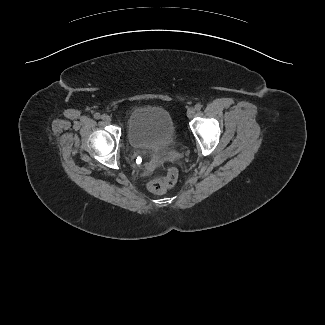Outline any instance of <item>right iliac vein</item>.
Here are the masks:
<instances>
[{
	"label": "right iliac vein",
	"instance_id": "obj_1",
	"mask_svg": "<svg viewBox=\"0 0 325 325\" xmlns=\"http://www.w3.org/2000/svg\"><path fill=\"white\" fill-rule=\"evenodd\" d=\"M101 119L105 122H111V117L107 114H103Z\"/></svg>",
	"mask_w": 325,
	"mask_h": 325
}]
</instances>
